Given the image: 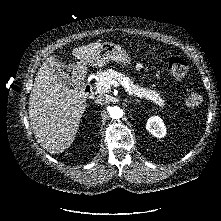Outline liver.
Listing matches in <instances>:
<instances>
[{"label": "liver", "mask_w": 221, "mask_h": 221, "mask_svg": "<svg viewBox=\"0 0 221 221\" xmlns=\"http://www.w3.org/2000/svg\"><path fill=\"white\" fill-rule=\"evenodd\" d=\"M101 46L95 42L77 47L72 55L80 59V63L93 64ZM54 67L62 71L66 68L68 72L72 69L73 74L80 72L75 63L66 67L55 57H49L35 77L29 97L30 125L37 142L51 154L64 152L74 142L86 109L85 97L60 82Z\"/></svg>", "instance_id": "obj_1"}]
</instances>
